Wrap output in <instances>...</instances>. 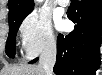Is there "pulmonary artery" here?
<instances>
[{
  "label": "pulmonary artery",
  "instance_id": "obj_1",
  "mask_svg": "<svg viewBox=\"0 0 102 75\" xmlns=\"http://www.w3.org/2000/svg\"><path fill=\"white\" fill-rule=\"evenodd\" d=\"M60 4L65 5L66 4V0H59L58 1Z\"/></svg>",
  "mask_w": 102,
  "mask_h": 75
}]
</instances>
